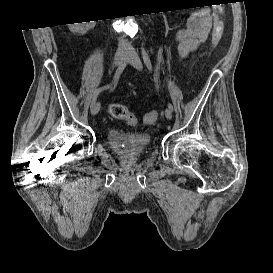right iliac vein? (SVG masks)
<instances>
[{"label": "right iliac vein", "mask_w": 273, "mask_h": 273, "mask_svg": "<svg viewBox=\"0 0 273 273\" xmlns=\"http://www.w3.org/2000/svg\"><path fill=\"white\" fill-rule=\"evenodd\" d=\"M127 53H128V52L125 51V50H119V51L117 52L115 58H114L113 65H114L115 67H119V66L123 63L124 59L126 58ZM99 110H100V103L97 102V103H95V104L93 105V107L91 108V115H93V116L96 115V114L99 112Z\"/></svg>", "instance_id": "63e3f726"}]
</instances>
